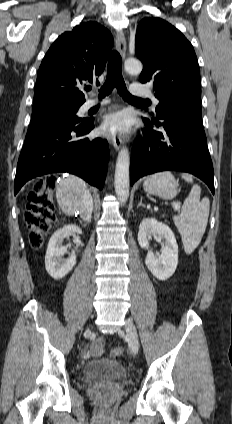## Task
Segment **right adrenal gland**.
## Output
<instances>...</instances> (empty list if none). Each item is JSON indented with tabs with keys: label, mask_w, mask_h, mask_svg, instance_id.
<instances>
[{
	"label": "right adrenal gland",
	"mask_w": 232,
	"mask_h": 424,
	"mask_svg": "<svg viewBox=\"0 0 232 424\" xmlns=\"http://www.w3.org/2000/svg\"><path fill=\"white\" fill-rule=\"evenodd\" d=\"M79 222H80V224H82V223H83V225H87V224L90 222V220H89V221H83V220H80V219H79Z\"/></svg>",
	"instance_id": "right-adrenal-gland-1"
}]
</instances>
